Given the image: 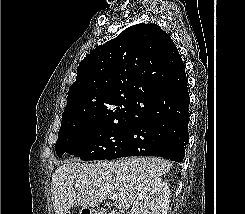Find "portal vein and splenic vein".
<instances>
[{
    "label": "portal vein and splenic vein",
    "instance_id": "portal-vein-and-splenic-vein-1",
    "mask_svg": "<svg viewBox=\"0 0 245 214\" xmlns=\"http://www.w3.org/2000/svg\"><path fill=\"white\" fill-rule=\"evenodd\" d=\"M77 186H78V185H76V187H77ZM117 198H118V195H116V194L110 196V199H111V200H116Z\"/></svg>",
    "mask_w": 245,
    "mask_h": 214
}]
</instances>
